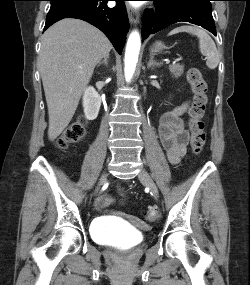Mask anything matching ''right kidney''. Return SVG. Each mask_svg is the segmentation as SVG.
Wrapping results in <instances>:
<instances>
[{
  "instance_id": "ca27d5eb",
  "label": "right kidney",
  "mask_w": 250,
  "mask_h": 285,
  "mask_svg": "<svg viewBox=\"0 0 250 285\" xmlns=\"http://www.w3.org/2000/svg\"><path fill=\"white\" fill-rule=\"evenodd\" d=\"M101 106V97L94 87L89 86L83 95V108L86 119L94 120L97 118Z\"/></svg>"
}]
</instances>
